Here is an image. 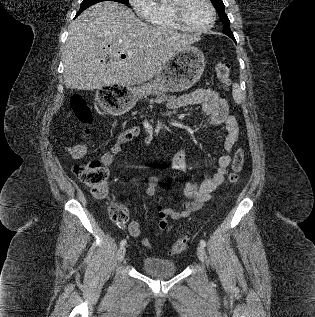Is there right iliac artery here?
<instances>
[{"mask_svg": "<svg viewBox=\"0 0 315 317\" xmlns=\"http://www.w3.org/2000/svg\"><path fill=\"white\" fill-rule=\"evenodd\" d=\"M125 244H126V240L123 239V240L120 242V246L123 247Z\"/></svg>", "mask_w": 315, "mask_h": 317, "instance_id": "right-iliac-artery-1", "label": "right iliac artery"}]
</instances>
